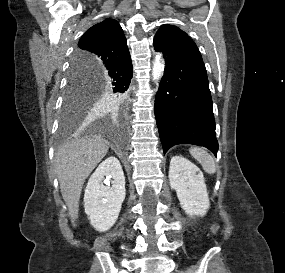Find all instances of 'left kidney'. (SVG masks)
Wrapping results in <instances>:
<instances>
[{
	"mask_svg": "<svg viewBox=\"0 0 285 273\" xmlns=\"http://www.w3.org/2000/svg\"><path fill=\"white\" fill-rule=\"evenodd\" d=\"M169 182L176 190L182 209L189 215L204 216L210 202L203 173L181 156H174L170 162Z\"/></svg>",
	"mask_w": 285,
	"mask_h": 273,
	"instance_id": "left-kidney-1",
	"label": "left kidney"
}]
</instances>
